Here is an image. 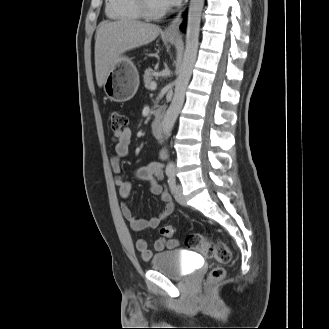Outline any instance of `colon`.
I'll return each mask as SVG.
<instances>
[{
  "mask_svg": "<svg viewBox=\"0 0 329 329\" xmlns=\"http://www.w3.org/2000/svg\"><path fill=\"white\" fill-rule=\"evenodd\" d=\"M111 128L114 134L121 133L128 124L127 117L119 112L112 111L110 113ZM163 237L172 238L176 234V227L173 225H165L160 229ZM185 244L189 249L196 250L200 254L215 258L219 263L227 264L231 260V251L221 241L212 243L203 234L189 233L185 239ZM226 271L223 266L213 268L208 276L210 282L221 281L225 277Z\"/></svg>",
  "mask_w": 329,
  "mask_h": 329,
  "instance_id": "1",
  "label": "colon"
}]
</instances>
